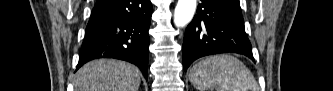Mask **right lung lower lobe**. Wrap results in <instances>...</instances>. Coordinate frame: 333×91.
Returning a JSON list of instances; mask_svg holds the SVG:
<instances>
[{"label": "right lung lower lobe", "mask_w": 333, "mask_h": 91, "mask_svg": "<svg viewBox=\"0 0 333 91\" xmlns=\"http://www.w3.org/2000/svg\"><path fill=\"white\" fill-rule=\"evenodd\" d=\"M151 15L150 0H98L77 69L93 59L116 58L137 65L147 78Z\"/></svg>", "instance_id": "obj_1"}]
</instances>
